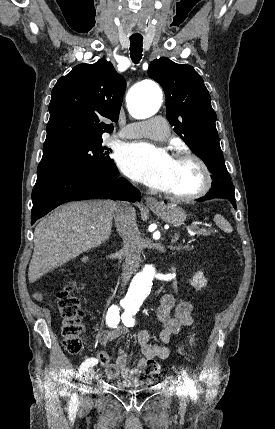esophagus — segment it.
Listing matches in <instances>:
<instances>
[{
  "instance_id": "esophagus-1",
  "label": "esophagus",
  "mask_w": 275,
  "mask_h": 429,
  "mask_svg": "<svg viewBox=\"0 0 275 429\" xmlns=\"http://www.w3.org/2000/svg\"><path fill=\"white\" fill-rule=\"evenodd\" d=\"M146 204L151 208L160 207L158 200L151 196L146 197Z\"/></svg>"
}]
</instances>
